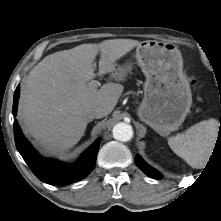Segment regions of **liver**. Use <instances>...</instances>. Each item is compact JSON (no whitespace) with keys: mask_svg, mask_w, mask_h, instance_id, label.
I'll return each mask as SVG.
<instances>
[{"mask_svg":"<svg viewBox=\"0 0 221 221\" xmlns=\"http://www.w3.org/2000/svg\"><path fill=\"white\" fill-rule=\"evenodd\" d=\"M140 44L133 39H111L81 44L42 59L24 81L18 120L25 134L48 152L61 153L76 145L85 133L87 108H98V118L109 115L123 92V85L106 83L98 89L93 62L100 52L99 74L115 70L116 61Z\"/></svg>","mask_w":221,"mask_h":221,"instance_id":"1","label":"liver"}]
</instances>
